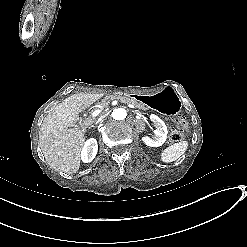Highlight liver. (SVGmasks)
Masks as SVG:
<instances>
[{
	"mask_svg": "<svg viewBox=\"0 0 247 247\" xmlns=\"http://www.w3.org/2000/svg\"><path fill=\"white\" fill-rule=\"evenodd\" d=\"M104 96V93H76L58 103L43 119L39 143L49 167L67 177L79 171L86 143L85 126H77L80 113Z\"/></svg>",
	"mask_w": 247,
	"mask_h": 247,
	"instance_id": "1",
	"label": "liver"
}]
</instances>
